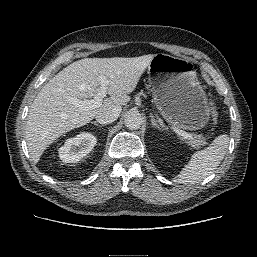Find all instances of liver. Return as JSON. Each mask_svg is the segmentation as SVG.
I'll return each mask as SVG.
<instances>
[{
    "mask_svg": "<svg viewBox=\"0 0 257 257\" xmlns=\"http://www.w3.org/2000/svg\"><path fill=\"white\" fill-rule=\"evenodd\" d=\"M153 57L85 58L60 71L41 89L29 110L25 137L32 160L38 163L50 144L62 134L89 123L98 111L126 105ZM99 76L109 81L110 97L97 108L80 110L70 99L94 97L100 89Z\"/></svg>",
    "mask_w": 257,
    "mask_h": 257,
    "instance_id": "6515ba94",
    "label": "liver"
}]
</instances>
